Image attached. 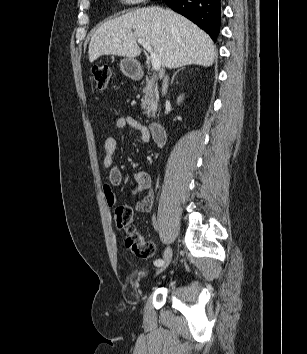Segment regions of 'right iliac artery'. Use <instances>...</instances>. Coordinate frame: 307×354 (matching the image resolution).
Returning a JSON list of instances; mask_svg holds the SVG:
<instances>
[{
	"label": "right iliac artery",
	"instance_id": "1",
	"mask_svg": "<svg viewBox=\"0 0 307 354\" xmlns=\"http://www.w3.org/2000/svg\"><path fill=\"white\" fill-rule=\"evenodd\" d=\"M163 263H164V262H163V260H161V259H157V260L154 261V265H155V266H158V267L161 266V265H163Z\"/></svg>",
	"mask_w": 307,
	"mask_h": 354
}]
</instances>
